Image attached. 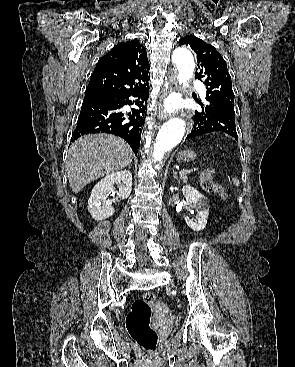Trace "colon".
Returning <instances> with one entry per match:
<instances>
[{
	"label": "colon",
	"mask_w": 295,
	"mask_h": 367,
	"mask_svg": "<svg viewBox=\"0 0 295 367\" xmlns=\"http://www.w3.org/2000/svg\"><path fill=\"white\" fill-rule=\"evenodd\" d=\"M200 181L205 191L218 193L223 198L226 197L223 188L214 180L213 169H205L201 174ZM155 300L156 295L154 293L145 292L133 302L131 310L126 317V328L129 335L147 352L153 351L158 342V334L150 326L151 307Z\"/></svg>",
	"instance_id": "1"
}]
</instances>
